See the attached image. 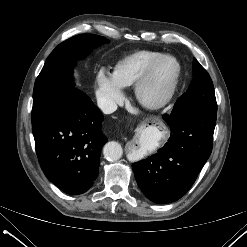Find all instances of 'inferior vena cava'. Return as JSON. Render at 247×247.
Masks as SVG:
<instances>
[{"label": "inferior vena cava", "instance_id": "1", "mask_svg": "<svg viewBox=\"0 0 247 247\" xmlns=\"http://www.w3.org/2000/svg\"><path fill=\"white\" fill-rule=\"evenodd\" d=\"M97 104L104 114H111L117 110V104L111 99L98 98Z\"/></svg>", "mask_w": 247, "mask_h": 247}]
</instances>
